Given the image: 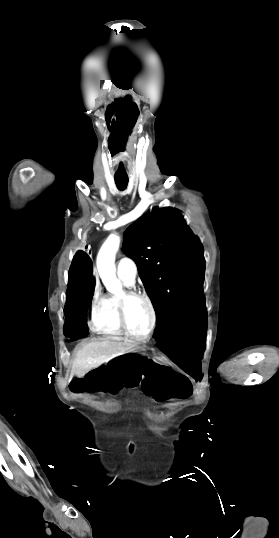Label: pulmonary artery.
<instances>
[{
    "label": "pulmonary artery",
    "mask_w": 279,
    "mask_h": 538,
    "mask_svg": "<svg viewBox=\"0 0 279 538\" xmlns=\"http://www.w3.org/2000/svg\"><path fill=\"white\" fill-rule=\"evenodd\" d=\"M116 272L128 283H134L137 275V267L130 258L123 257L116 263Z\"/></svg>",
    "instance_id": "obj_1"
}]
</instances>
